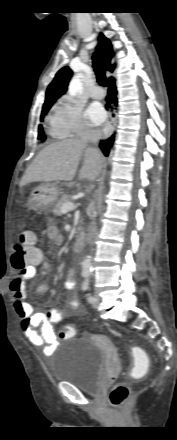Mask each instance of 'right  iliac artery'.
Returning a JSON list of instances; mask_svg holds the SVG:
<instances>
[{
	"label": "right iliac artery",
	"instance_id": "82829eb1",
	"mask_svg": "<svg viewBox=\"0 0 177 440\" xmlns=\"http://www.w3.org/2000/svg\"><path fill=\"white\" fill-rule=\"evenodd\" d=\"M87 275L86 274H83V277H86Z\"/></svg>",
	"mask_w": 177,
	"mask_h": 440
}]
</instances>
